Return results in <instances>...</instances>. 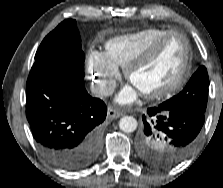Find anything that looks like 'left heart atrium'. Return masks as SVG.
<instances>
[{
    "instance_id": "39dd6f15",
    "label": "left heart atrium",
    "mask_w": 223,
    "mask_h": 188,
    "mask_svg": "<svg viewBox=\"0 0 223 188\" xmlns=\"http://www.w3.org/2000/svg\"><path fill=\"white\" fill-rule=\"evenodd\" d=\"M137 91L131 86L125 87L116 97V101L122 105L133 103L137 98Z\"/></svg>"
}]
</instances>
